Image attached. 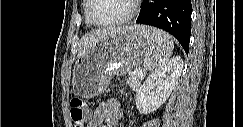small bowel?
Listing matches in <instances>:
<instances>
[{"mask_svg":"<svg viewBox=\"0 0 243 127\" xmlns=\"http://www.w3.org/2000/svg\"><path fill=\"white\" fill-rule=\"evenodd\" d=\"M122 117L121 107L117 100L100 103L91 114L87 127H115Z\"/></svg>","mask_w":243,"mask_h":127,"instance_id":"obj_1","label":"small bowel"}]
</instances>
